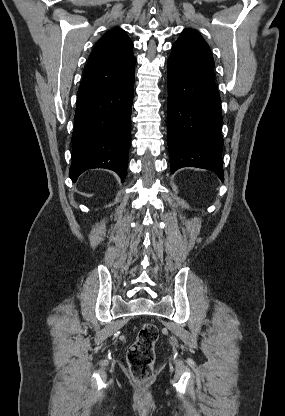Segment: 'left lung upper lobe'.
<instances>
[{
    "instance_id": "5c2ea615",
    "label": "left lung upper lobe",
    "mask_w": 285,
    "mask_h": 416,
    "mask_svg": "<svg viewBox=\"0 0 285 416\" xmlns=\"http://www.w3.org/2000/svg\"><path fill=\"white\" fill-rule=\"evenodd\" d=\"M190 70L214 80V60L208 44L191 29H185L172 46L169 57Z\"/></svg>"
}]
</instances>
